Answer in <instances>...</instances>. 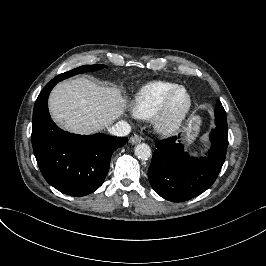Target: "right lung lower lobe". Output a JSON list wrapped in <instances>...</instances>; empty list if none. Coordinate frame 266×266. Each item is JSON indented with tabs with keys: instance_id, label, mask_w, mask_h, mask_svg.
I'll list each match as a JSON object with an SVG mask.
<instances>
[{
	"instance_id": "98d812e1",
	"label": "right lung lower lobe",
	"mask_w": 266,
	"mask_h": 266,
	"mask_svg": "<svg viewBox=\"0 0 266 266\" xmlns=\"http://www.w3.org/2000/svg\"><path fill=\"white\" fill-rule=\"evenodd\" d=\"M58 80H51L39 94L33 111L32 145L45 180L60 192L85 196L98 189L109 171L112 153L126 137L102 133L71 134L52 121L48 96Z\"/></svg>"
}]
</instances>
